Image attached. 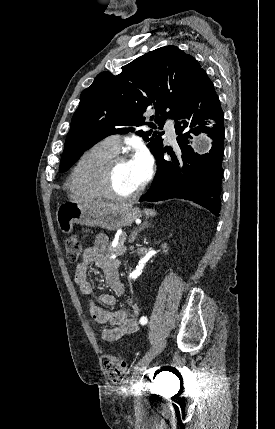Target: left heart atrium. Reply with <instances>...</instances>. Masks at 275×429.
<instances>
[{"instance_id":"obj_1","label":"left heart atrium","mask_w":275,"mask_h":429,"mask_svg":"<svg viewBox=\"0 0 275 429\" xmlns=\"http://www.w3.org/2000/svg\"><path fill=\"white\" fill-rule=\"evenodd\" d=\"M131 161L136 169L139 182L141 184L144 183L151 170V158L149 153L146 149L141 148L136 152Z\"/></svg>"}]
</instances>
